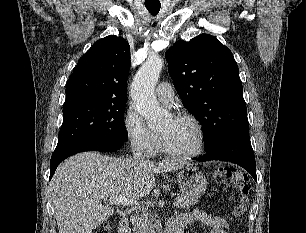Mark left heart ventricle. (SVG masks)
Listing matches in <instances>:
<instances>
[{
    "label": "left heart ventricle",
    "mask_w": 306,
    "mask_h": 233,
    "mask_svg": "<svg viewBox=\"0 0 306 233\" xmlns=\"http://www.w3.org/2000/svg\"><path fill=\"white\" fill-rule=\"evenodd\" d=\"M168 145L179 152H191L197 149L199 134L193 122L186 119L168 118L159 129Z\"/></svg>",
    "instance_id": "b2bd125f"
}]
</instances>
